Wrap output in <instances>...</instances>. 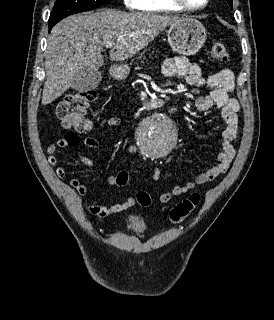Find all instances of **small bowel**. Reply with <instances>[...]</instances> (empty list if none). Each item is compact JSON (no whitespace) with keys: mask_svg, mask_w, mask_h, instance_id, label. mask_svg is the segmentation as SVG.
Returning <instances> with one entry per match:
<instances>
[{"mask_svg":"<svg viewBox=\"0 0 274 320\" xmlns=\"http://www.w3.org/2000/svg\"><path fill=\"white\" fill-rule=\"evenodd\" d=\"M163 74L168 77L180 76L184 77L186 82L194 87H203L211 89V92L206 96H200L195 100V106L199 111H207L211 107L216 106L220 111L225 122V127L222 132V147L223 151L217 155L216 163L208 168L206 171L197 175L193 180L185 184L177 185L173 189L162 193L159 196L161 203H167L173 198L186 194L198 185L208 183L215 179L217 176L226 172L236 154L235 144L238 140L239 133L241 132L240 123V105L238 101L231 96V92L235 88V74L231 69L223 68L209 76H204L200 67L196 63L190 62L186 57L175 56L168 58L164 61L162 67ZM94 119H75L74 125L76 131H86L90 126H94ZM121 124V119L112 117L107 120L109 127H117ZM82 144L91 149H99L100 143L93 137H84L78 139L76 144ZM69 144L64 140H57L51 144L45 151L50 154L48 162L54 166L57 164V157L54 153L59 149L68 146ZM127 151L131 154L139 152L136 146L130 145ZM81 162L89 167L94 168L95 163L92 159L86 156H80ZM56 175L62 178L65 175V168L58 167ZM118 175L128 176L125 171L120 172ZM110 175L106 181L109 185L117 186V176ZM161 171L155 167L153 173V180L160 179ZM70 186L76 190L77 194L84 199L85 206L89 213L97 217H107L113 214H118L126 211L134 205L135 199L128 198L122 203H114L105 205L98 201L94 194L88 192L87 186L80 180L73 178L70 180ZM86 198L88 200H86Z\"/></svg>","mask_w":274,"mask_h":320,"instance_id":"c3829d8e","label":"small bowel"}]
</instances>
